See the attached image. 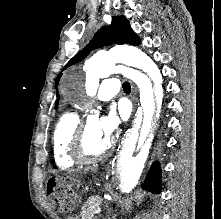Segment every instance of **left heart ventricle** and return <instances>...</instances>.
I'll return each mask as SVG.
<instances>
[{
	"label": "left heart ventricle",
	"instance_id": "obj_1",
	"mask_svg": "<svg viewBox=\"0 0 221 219\" xmlns=\"http://www.w3.org/2000/svg\"><path fill=\"white\" fill-rule=\"evenodd\" d=\"M110 139L105 137L99 129V121L90 118L87 121L83 150L88 156L97 155L105 150Z\"/></svg>",
	"mask_w": 221,
	"mask_h": 219
}]
</instances>
